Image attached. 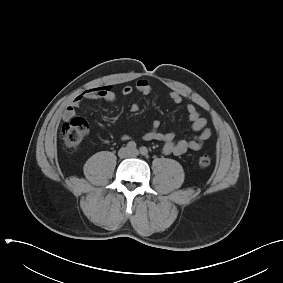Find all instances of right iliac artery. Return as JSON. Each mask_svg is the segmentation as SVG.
Masks as SVG:
<instances>
[{"label": "right iliac artery", "instance_id": "1", "mask_svg": "<svg viewBox=\"0 0 283 283\" xmlns=\"http://www.w3.org/2000/svg\"><path fill=\"white\" fill-rule=\"evenodd\" d=\"M127 148H128L129 150H134V149H136V143H135L134 141L128 142V143H127Z\"/></svg>", "mask_w": 283, "mask_h": 283}]
</instances>
